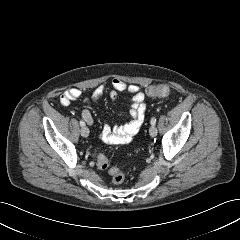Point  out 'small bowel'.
<instances>
[{
    "label": "small bowel",
    "mask_w": 240,
    "mask_h": 240,
    "mask_svg": "<svg viewBox=\"0 0 240 240\" xmlns=\"http://www.w3.org/2000/svg\"><path fill=\"white\" fill-rule=\"evenodd\" d=\"M127 92L130 94V109L129 113L131 120L122 126L111 127L105 125L100 132V138L109 144H124L130 142L134 136L140 130L145 116L146 104L145 95L141 91L140 87L135 84H127L120 79H113L110 88L106 86H100L97 88L92 96V100H97L108 94L110 98L115 101L118 97V93ZM82 92L78 88L67 89L60 97V103L63 106L69 105L73 100L81 98ZM85 102H89L88 98H84ZM82 118L88 125L93 124V116L90 110L85 109L82 111Z\"/></svg>",
    "instance_id": "obj_1"
}]
</instances>
